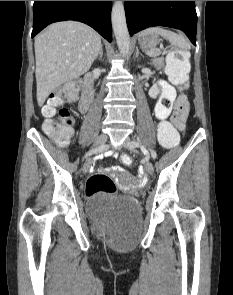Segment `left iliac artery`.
Wrapping results in <instances>:
<instances>
[{"label":"left iliac artery","mask_w":233,"mask_h":295,"mask_svg":"<svg viewBox=\"0 0 233 295\" xmlns=\"http://www.w3.org/2000/svg\"><path fill=\"white\" fill-rule=\"evenodd\" d=\"M142 142L140 141V140H132L131 141V144L132 145H140ZM151 156H152V160L155 162L157 159V157H156V152L154 151V150H151Z\"/></svg>","instance_id":"1"}]
</instances>
